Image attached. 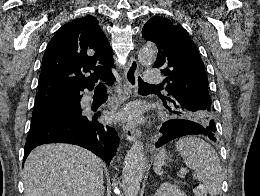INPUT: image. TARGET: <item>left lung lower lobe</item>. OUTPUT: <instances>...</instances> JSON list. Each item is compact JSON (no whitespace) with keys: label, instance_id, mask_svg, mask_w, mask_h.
<instances>
[{"label":"left lung lower lobe","instance_id":"obj_1","mask_svg":"<svg viewBox=\"0 0 260 196\" xmlns=\"http://www.w3.org/2000/svg\"><path fill=\"white\" fill-rule=\"evenodd\" d=\"M162 136L156 142V148L164 145L165 143L185 135H199L203 134L209 137L212 141H216V124L215 122L204 126L200 123L185 120V119H172L165 122L161 128Z\"/></svg>","mask_w":260,"mask_h":196}]
</instances>
